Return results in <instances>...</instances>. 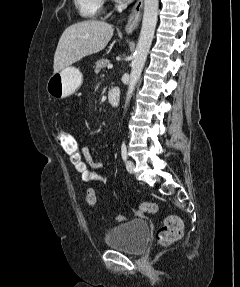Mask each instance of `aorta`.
Returning a JSON list of instances; mask_svg holds the SVG:
<instances>
[{
    "mask_svg": "<svg viewBox=\"0 0 240 287\" xmlns=\"http://www.w3.org/2000/svg\"><path fill=\"white\" fill-rule=\"evenodd\" d=\"M159 0H144V13L139 40L134 53L130 81L128 85L125 109L133 95L135 86L139 81L142 69L154 37L157 24Z\"/></svg>",
    "mask_w": 240,
    "mask_h": 287,
    "instance_id": "aorta-1",
    "label": "aorta"
}]
</instances>
